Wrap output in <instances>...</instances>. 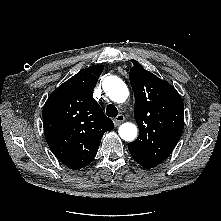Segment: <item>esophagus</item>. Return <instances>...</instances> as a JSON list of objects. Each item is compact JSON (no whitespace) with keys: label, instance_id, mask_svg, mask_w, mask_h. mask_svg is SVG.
<instances>
[{"label":"esophagus","instance_id":"obj_1","mask_svg":"<svg viewBox=\"0 0 221 221\" xmlns=\"http://www.w3.org/2000/svg\"><path fill=\"white\" fill-rule=\"evenodd\" d=\"M125 120V116L123 114H119L113 120L115 126H119Z\"/></svg>","mask_w":221,"mask_h":221}]
</instances>
